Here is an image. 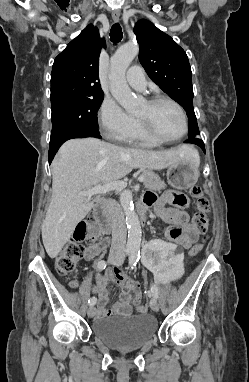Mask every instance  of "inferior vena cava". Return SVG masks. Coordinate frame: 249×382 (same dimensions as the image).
Masks as SVG:
<instances>
[{"mask_svg": "<svg viewBox=\"0 0 249 382\" xmlns=\"http://www.w3.org/2000/svg\"><path fill=\"white\" fill-rule=\"evenodd\" d=\"M106 208L112 220V244L109 255L112 258L123 259L127 236L125 215L122 207L115 200L109 199Z\"/></svg>", "mask_w": 249, "mask_h": 382, "instance_id": "inferior-vena-cava-1", "label": "inferior vena cava"}]
</instances>
